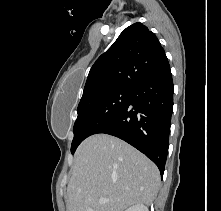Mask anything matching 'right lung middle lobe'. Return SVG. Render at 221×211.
I'll list each match as a JSON object with an SVG mask.
<instances>
[{
	"instance_id": "obj_1",
	"label": "right lung middle lobe",
	"mask_w": 221,
	"mask_h": 211,
	"mask_svg": "<svg viewBox=\"0 0 221 211\" xmlns=\"http://www.w3.org/2000/svg\"><path fill=\"white\" fill-rule=\"evenodd\" d=\"M130 95L131 88H119L81 100L73 129L71 153L75 152L85 138L95 134L109 122L126 104Z\"/></svg>"
}]
</instances>
